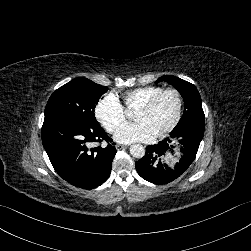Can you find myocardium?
<instances>
[{"label":"myocardium","instance_id":"f54148a6","mask_svg":"<svg viewBox=\"0 0 251 251\" xmlns=\"http://www.w3.org/2000/svg\"><path fill=\"white\" fill-rule=\"evenodd\" d=\"M167 94H174L178 100V111L175 119L167 126L163 127L160 131V135L168 134L174 131L182 121L184 113V98L182 93L176 88L163 89L161 92L153 96L147 102L143 103L139 108L152 109L156 106L159 100Z\"/></svg>","mask_w":251,"mask_h":251}]
</instances>
